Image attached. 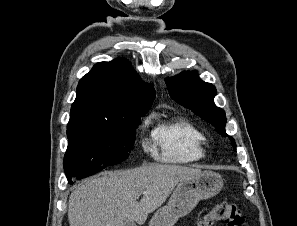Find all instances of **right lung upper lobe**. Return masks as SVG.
<instances>
[{
    "label": "right lung upper lobe",
    "mask_w": 297,
    "mask_h": 226,
    "mask_svg": "<svg viewBox=\"0 0 297 226\" xmlns=\"http://www.w3.org/2000/svg\"><path fill=\"white\" fill-rule=\"evenodd\" d=\"M155 90L145 85L125 59L100 62L77 86L70 121L118 123L130 107H151Z\"/></svg>",
    "instance_id": "right-lung-upper-lobe-1"
}]
</instances>
